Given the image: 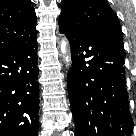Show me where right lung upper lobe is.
Instances as JSON below:
<instances>
[{"label":"right lung upper lobe","mask_w":136,"mask_h":136,"mask_svg":"<svg viewBox=\"0 0 136 136\" xmlns=\"http://www.w3.org/2000/svg\"><path fill=\"white\" fill-rule=\"evenodd\" d=\"M30 0H0V51L21 46L37 35Z\"/></svg>","instance_id":"right-lung-upper-lobe-1"}]
</instances>
